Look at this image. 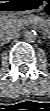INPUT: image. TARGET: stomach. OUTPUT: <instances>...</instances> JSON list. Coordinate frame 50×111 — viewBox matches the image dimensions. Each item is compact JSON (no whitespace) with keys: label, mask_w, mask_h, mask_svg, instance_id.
Listing matches in <instances>:
<instances>
[{"label":"stomach","mask_w":50,"mask_h":111,"mask_svg":"<svg viewBox=\"0 0 50 111\" xmlns=\"http://www.w3.org/2000/svg\"><path fill=\"white\" fill-rule=\"evenodd\" d=\"M4 3V13L11 16L41 11L46 4L45 0H7Z\"/></svg>","instance_id":"stomach-1"}]
</instances>
